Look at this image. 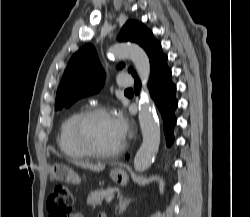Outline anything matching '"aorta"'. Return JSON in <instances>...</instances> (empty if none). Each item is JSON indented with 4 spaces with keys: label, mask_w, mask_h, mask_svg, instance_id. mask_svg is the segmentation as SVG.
Masks as SVG:
<instances>
[{
    "label": "aorta",
    "mask_w": 250,
    "mask_h": 217,
    "mask_svg": "<svg viewBox=\"0 0 250 217\" xmlns=\"http://www.w3.org/2000/svg\"><path fill=\"white\" fill-rule=\"evenodd\" d=\"M115 58L132 60L140 78L147 80L150 75V62L146 52L136 44H116L108 50ZM139 123L143 142L134 157V168L142 172L150 167L160 144V126L153 103L143 94L139 103Z\"/></svg>",
    "instance_id": "obj_1"
}]
</instances>
